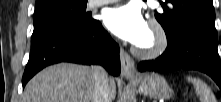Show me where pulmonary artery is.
Segmentation results:
<instances>
[{
  "instance_id": "e3ab8cb5",
  "label": "pulmonary artery",
  "mask_w": 221,
  "mask_h": 102,
  "mask_svg": "<svg viewBox=\"0 0 221 102\" xmlns=\"http://www.w3.org/2000/svg\"><path fill=\"white\" fill-rule=\"evenodd\" d=\"M117 1H119V0H91L90 6L91 7H98L101 5H105V4L113 3V2H117Z\"/></svg>"
}]
</instances>
